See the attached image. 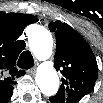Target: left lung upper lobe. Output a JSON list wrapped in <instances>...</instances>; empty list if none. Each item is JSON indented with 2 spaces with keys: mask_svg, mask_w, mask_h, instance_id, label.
Here are the masks:
<instances>
[{
  "mask_svg": "<svg viewBox=\"0 0 103 103\" xmlns=\"http://www.w3.org/2000/svg\"><path fill=\"white\" fill-rule=\"evenodd\" d=\"M56 35L54 65L63 75L61 87L52 103H73L71 95L85 96L93 91L98 77L96 58L88 43L71 26L61 21L49 24Z\"/></svg>",
  "mask_w": 103,
  "mask_h": 103,
  "instance_id": "left-lung-upper-lobe-1",
  "label": "left lung upper lobe"
}]
</instances>
